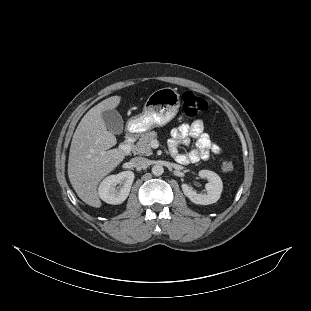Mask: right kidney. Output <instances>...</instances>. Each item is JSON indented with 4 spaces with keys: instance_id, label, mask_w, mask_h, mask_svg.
I'll use <instances>...</instances> for the list:
<instances>
[{
    "instance_id": "1",
    "label": "right kidney",
    "mask_w": 311,
    "mask_h": 311,
    "mask_svg": "<svg viewBox=\"0 0 311 311\" xmlns=\"http://www.w3.org/2000/svg\"><path fill=\"white\" fill-rule=\"evenodd\" d=\"M134 177L132 171L107 175L97 187L99 198L108 204L116 205L122 203L130 193ZM117 183L120 185L118 188H115Z\"/></svg>"
}]
</instances>
